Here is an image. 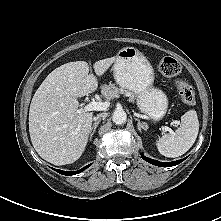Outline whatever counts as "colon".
<instances>
[{
  "label": "colon",
  "instance_id": "5ec220e1",
  "mask_svg": "<svg viewBox=\"0 0 221 221\" xmlns=\"http://www.w3.org/2000/svg\"><path fill=\"white\" fill-rule=\"evenodd\" d=\"M158 69L163 76L176 77L181 72V65L173 57H163L159 62ZM175 85L183 103L189 106L194 105L196 94L193 87L182 79H177Z\"/></svg>",
  "mask_w": 221,
  "mask_h": 221
}]
</instances>
